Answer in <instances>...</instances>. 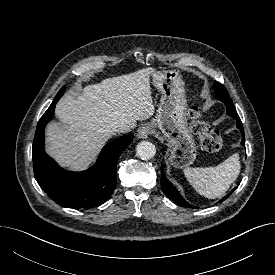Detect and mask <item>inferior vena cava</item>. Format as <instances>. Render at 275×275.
I'll return each mask as SVG.
<instances>
[{"label": "inferior vena cava", "mask_w": 275, "mask_h": 275, "mask_svg": "<svg viewBox=\"0 0 275 275\" xmlns=\"http://www.w3.org/2000/svg\"><path fill=\"white\" fill-rule=\"evenodd\" d=\"M130 130H131V128L125 124L119 125L116 129V131L120 132V133L129 132Z\"/></svg>", "instance_id": "1"}]
</instances>
